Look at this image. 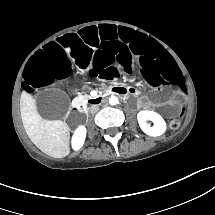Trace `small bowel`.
Returning <instances> with one entry per match:
<instances>
[{"mask_svg":"<svg viewBox=\"0 0 215 215\" xmlns=\"http://www.w3.org/2000/svg\"><path fill=\"white\" fill-rule=\"evenodd\" d=\"M130 90L131 93H135L136 90L134 88H128Z\"/></svg>","mask_w":215,"mask_h":215,"instance_id":"obj_1","label":"small bowel"}]
</instances>
